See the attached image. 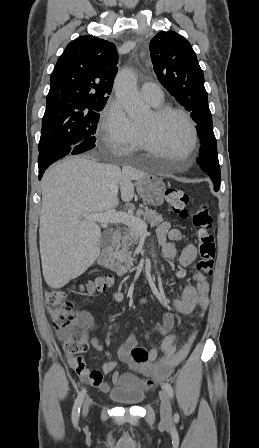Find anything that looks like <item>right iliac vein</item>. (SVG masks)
<instances>
[{"instance_id":"right-iliac-vein-1","label":"right iliac vein","mask_w":259,"mask_h":448,"mask_svg":"<svg viewBox=\"0 0 259 448\" xmlns=\"http://www.w3.org/2000/svg\"><path fill=\"white\" fill-rule=\"evenodd\" d=\"M89 410V400H86L83 406V415L86 416Z\"/></svg>"}]
</instances>
